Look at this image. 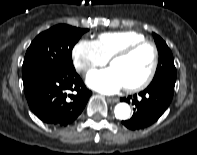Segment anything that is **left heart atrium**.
<instances>
[{"label": "left heart atrium", "instance_id": "1", "mask_svg": "<svg viewBox=\"0 0 197 155\" xmlns=\"http://www.w3.org/2000/svg\"><path fill=\"white\" fill-rule=\"evenodd\" d=\"M86 82L91 88L105 94L115 93L124 87L122 78L113 67L91 72Z\"/></svg>", "mask_w": 197, "mask_h": 155}]
</instances>
